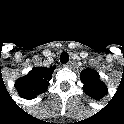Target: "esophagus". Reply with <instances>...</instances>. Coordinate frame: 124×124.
<instances>
[{
    "label": "esophagus",
    "instance_id": "1",
    "mask_svg": "<svg viewBox=\"0 0 124 124\" xmlns=\"http://www.w3.org/2000/svg\"><path fill=\"white\" fill-rule=\"evenodd\" d=\"M74 65L72 61H69L68 63L64 64L65 67L71 68Z\"/></svg>",
    "mask_w": 124,
    "mask_h": 124
}]
</instances>
